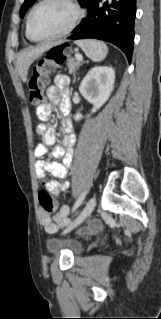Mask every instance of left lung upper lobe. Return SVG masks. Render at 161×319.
<instances>
[{"label": "left lung upper lobe", "instance_id": "1", "mask_svg": "<svg viewBox=\"0 0 161 319\" xmlns=\"http://www.w3.org/2000/svg\"><path fill=\"white\" fill-rule=\"evenodd\" d=\"M36 0H25L20 9V16L24 17L26 11L34 4ZM90 0H78L82 7H86Z\"/></svg>", "mask_w": 161, "mask_h": 319}]
</instances>
